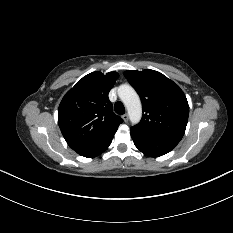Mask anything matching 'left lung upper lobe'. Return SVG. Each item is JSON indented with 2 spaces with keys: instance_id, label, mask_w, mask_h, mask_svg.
<instances>
[{
  "instance_id": "obj_1",
  "label": "left lung upper lobe",
  "mask_w": 233,
  "mask_h": 233,
  "mask_svg": "<svg viewBox=\"0 0 233 233\" xmlns=\"http://www.w3.org/2000/svg\"><path fill=\"white\" fill-rule=\"evenodd\" d=\"M124 75L137 90L143 104L142 119L131 129L180 141L185 133L189 106L179 86L154 70L125 71Z\"/></svg>"
}]
</instances>
